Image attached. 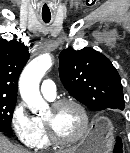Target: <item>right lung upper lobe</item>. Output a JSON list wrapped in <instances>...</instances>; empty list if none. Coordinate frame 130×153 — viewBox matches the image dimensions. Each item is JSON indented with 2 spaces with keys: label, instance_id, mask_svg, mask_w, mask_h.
Masks as SVG:
<instances>
[{
  "label": "right lung upper lobe",
  "instance_id": "1",
  "mask_svg": "<svg viewBox=\"0 0 130 153\" xmlns=\"http://www.w3.org/2000/svg\"><path fill=\"white\" fill-rule=\"evenodd\" d=\"M28 59L23 43L0 40V97L17 99L18 78Z\"/></svg>",
  "mask_w": 130,
  "mask_h": 153
}]
</instances>
